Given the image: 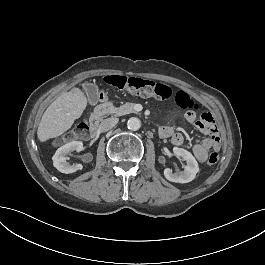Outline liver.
I'll list each match as a JSON object with an SVG mask.
<instances>
[{
  "label": "liver",
  "mask_w": 265,
  "mask_h": 265,
  "mask_svg": "<svg viewBox=\"0 0 265 265\" xmlns=\"http://www.w3.org/2000/svg\"><path fill=\"white\" fill-rule=\"evenodd\" d=\"M87 99L79 88L63 93L44 112L38 126L37 136L41 142L62 135L81 117Z\"/></svg>",
  "instance_id": "1"
}]
</instances>
